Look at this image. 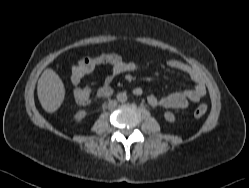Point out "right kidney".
I'll use <instances>...</instances> for the list:
<instances>
[{"mask_svg": "<svg viewBox=\"0 0 249 188\" xmlns=\"http://www.w3.org/2000/svg\"><path fill=\"white\" fill-rule=\"evenodd\" d=\"M86 114V110H79L74 116L75 121L80 122L86 116Z\"/></svg>", "mask_w": 249, "mask_h": 188, "instance_id": "1", "label": "right kidney"}]
</instances>
